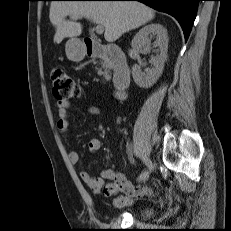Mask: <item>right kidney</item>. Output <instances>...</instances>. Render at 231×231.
Returning <instances> with one entry per match:
<instances>
[{
    "mask_svg": "<svg viewBox=\"0 0 231 231\" xmlns=\"http://www.w3.org/2000/svg\"><path fill=\"white\" fill-rule=\"evenodd\" d=\"M155 36L156 40L153 43L154 47H157V55L152 56L150 63L153 65L152 68H146L144 72L140 65L135 64L132 67V76L135 83L141 88L151 87L158 78L161 76L164 63L167 58L168 49V35L167 30L160 24H149L144 26L134 36L131 46L135 55L139 53L142 48L147 50L150 49L151 40L150 38Z\"/></svg>",
    "mask_w": 231,
    "mask_h": 231,
    "instance_id": "ca27d5eb",
    "label": "right kidney"
}]
</instances>
